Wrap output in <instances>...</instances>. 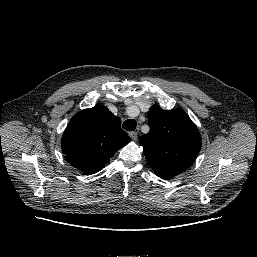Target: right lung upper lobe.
<instances>
[{
  "instance_id": "right-lung-upper-lobe-1",
  "label": "right lung upper lobe",
  "mask_w": 257,
  "mask_h": 257,
  "mask_svg": "<svg viewBox=\"0 0 257 257\" xmlns=\"http://www.w3.org/2000/svg\"><path fill=\"white\" fill-rule=\"evenodd\" d=\"M130 141L121 121L105 106L78 112L69 122L61 141L67 161L85 174H94Z\"/></svg>"
}]
</instances>
